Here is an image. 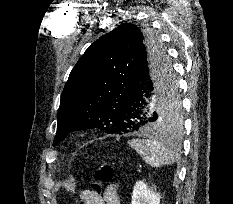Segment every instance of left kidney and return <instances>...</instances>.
<instances>
[{"label":"left kidney","instance_id":"left-kidney-1","mask_svg":"<svg viewBox=\"0 0 233 204\" xmlns=\"http://www.w3.org/2000/svg\"><path fill=\"white\" fill-rule=\"evenodd\" d=\"M160 194L153 191L144 181L136 182L131 204H160Z\"/></svg>","mask_w":233,"mask_h":204}]
</instances>
